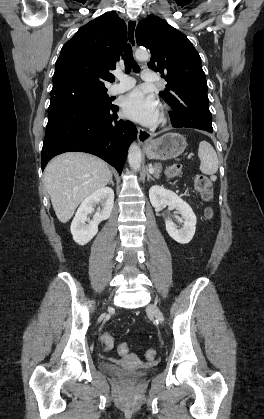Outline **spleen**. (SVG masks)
<instances>
[{
	"label": "spleen",
	"instance_id": "3e777b00",
	"mask_svg": "<svg viewBox=\"0 0 264 419\" xmlns=\"http://www.w3.org/2000/svg\"><path fill=\"white\" fill-rule=\"evenodd\" d=\"M198 156L200 158V171L206 175H213L218 170V157L211 146L207 141H201L198 148Z\"/></svg>",
	"mask_w": 264,
	"mask_h": 419
}]
</instances>
